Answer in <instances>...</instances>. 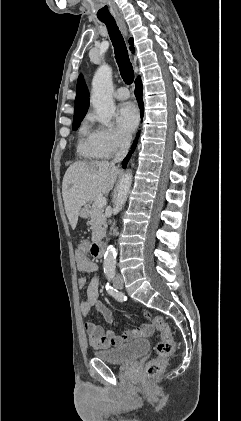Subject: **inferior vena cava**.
Returning <instances> with one entry per match:
<instances>
[{
	"label": "inferior vena cava",
	"mask_w": 241,
	"mask_h": 421,
	"mask_svg": "<svg viewBox=\"0 0 241 421\" xmlns=\"http://www.w3.org/2000/svg\"><path fill=\"white\" fill-rule=\"evenodd\" d=\"M131 137L130 136H121L119 141V151L117 152L115 158L111 162L112 165L115 163L121 162L126 156L128 149L130 147Z\"/></svg>",
	"instance_id": "obj_1"
}]
</instances>
